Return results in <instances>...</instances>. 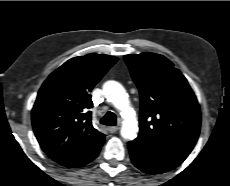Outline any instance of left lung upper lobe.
<instances>
[{
	"mask_svg": "<svg viewBox=\"0 0 230 186\" xmlns=\"http://www.w3.org/2000/svg\"><path fill=\"white\" fill-rule=\"evenodd\" d=\"M124 59L141 98L137 138L190 153L199 136L201 115L186 78L159 54L125 55Z\"/></svg>",
	"mask_w": 230,
	"mask_h": 186,
	"instance_id": "1",
	"label": "left lung upper lobe"
}]
</instances>
